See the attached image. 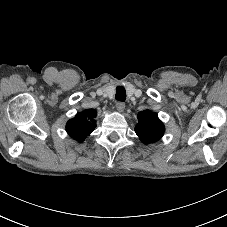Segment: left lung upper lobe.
<instances>
[{
  "label": "left lung upper lobe",
  "mask_w": 227,
  "mask_h": 227,
  "mask_svg": "<svg viewBox=\"0 0 227 227\" xmlns=\"http://www.w3.org/2000/svg\"><path fill=\"white\" fill-rule=\"evenodd\" d=\"M137 118L135 132L142 142L153 143L163 136L165 128L156 113L145 110L140 112Z\"/></svg>",
  "instance_id": "obj_1"
}]
</instances>
